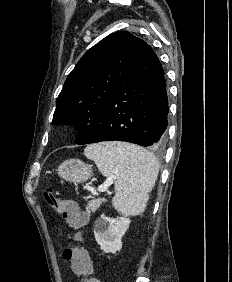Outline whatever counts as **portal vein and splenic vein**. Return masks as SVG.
Here are the masks:
<instances>
[{
	"label": "portal vein and splenic vein",
	"instance_id": "18ae733b",
	"mask_svg": "<svg viewBox=\"0 0 232 282\" xmlns=\"http://www.w3.org/2000/svg\"><path fill=\"white\" fill-rule=\"evenodd\" d=\"M114 178L115 177H113L112 179H114ZM108 186H109V183H105L103 185H100L97 190H98V192H105L107 190Z\"/></svg>",
	"mask_w": 232,
	"mask_h": 282
}]
</instances>
